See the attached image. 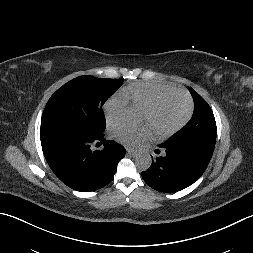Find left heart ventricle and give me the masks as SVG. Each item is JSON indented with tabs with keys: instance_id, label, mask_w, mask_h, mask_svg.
<instances>
[{
	"instance_id": "b2bd125f",
	"label": "left heart ventricle",
	"mask_w": 253,
	"mask_h": 253,
	"mask_svg": "<svg viewBox=\"0 0 253 253\" xmlns=\"http://www.w3.org/2000/svg\"><path fill=\"white\" fill-rule=\"evenodd\" d=\"M186 104L177 96L165 98L153 113L143 111L142 120L153 130L165 131L177 124L185 115Z\"/></svg>"
}]
</instances>
